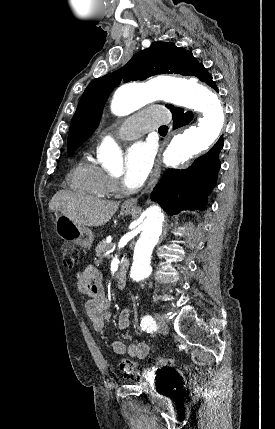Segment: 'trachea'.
<instances>
[{"instance_id":"1","label":"trachea","mask_w":275,"mask_h":429,"mask_svg":"<svg viewBox=\"0 0 275 429\" xmlns=\"http://www.w3.org/2000/svg\"><path fill=\"white\" fill-rule=\"evenodd\" d=\"M158 131L159 132H167L168 131V127L167 126H161Z\"/></svg>"}]
</instances>
